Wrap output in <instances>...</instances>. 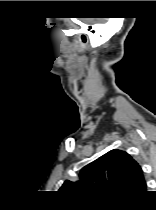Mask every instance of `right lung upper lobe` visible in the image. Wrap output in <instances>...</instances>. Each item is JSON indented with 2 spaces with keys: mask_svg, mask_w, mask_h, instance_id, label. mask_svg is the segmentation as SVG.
Masks as SVG:
<instances>
[{
  "mask_svg": "<svg viewBox=\"0 0 156 210\" xmlns=\"http://www.w3.org/2000/svg\"><path fill=\"white\" fill-rule=\"evenodd\" d=\"M79 181L66 180L61 192L94 202H131L146 192L140 165L125 151L111 150L83 167Z\"/></svg>",
  "mask_w": 156,
  "mask_h": 210,
  "instance_id": "right-lung-upper-lobe-1",
  "label": "right lung upper lobe"
}]
</instances>
